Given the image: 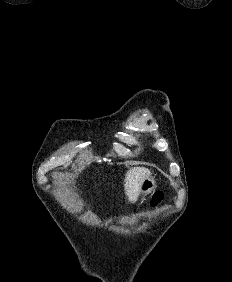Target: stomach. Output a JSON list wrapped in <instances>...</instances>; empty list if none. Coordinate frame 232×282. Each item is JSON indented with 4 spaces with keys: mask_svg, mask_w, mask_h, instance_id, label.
I'll use <instances>...</instances> for the list:
<instances>
[{
    "mask_svg": "<svg viewBox=\"0 0 232 282\" xmlns=\"http://www.w3.org/2000/svg\"><path fill=\"white\" fill-rule=\"evenodd\" d=\"M156 188V179L154 176L150 175L147 177L141 186V194L146 195L151 193Z\"/></svg>",
    "mask_w": 232,
    "mask_h": 282,
    "instance_id": "1",
    "label": "stomach"
}]
</instances>
